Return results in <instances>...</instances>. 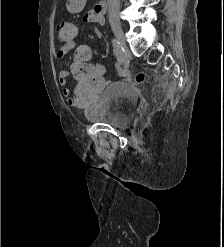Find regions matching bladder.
<instances>
[{
    "label": "bladder",
    "instance_id": "31cf9c89",
    "mask_svg": "<svg viewBox=\"0 0 224 247\" xmlns=\"http://www.w3.org/2000/svg\"><path fill=\"white\" fill-rule=\"evenodd\" d=\"M137 103L134 86L119 80L107 85L81 112L90 122L125 129L135 120Z\"/></svg>",
    "mask_w": 224,
    "mask_h": 247
}]
</instances>
